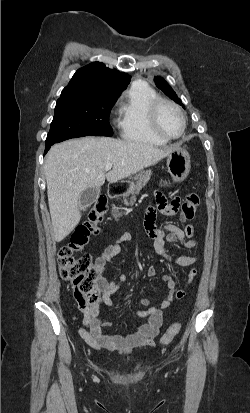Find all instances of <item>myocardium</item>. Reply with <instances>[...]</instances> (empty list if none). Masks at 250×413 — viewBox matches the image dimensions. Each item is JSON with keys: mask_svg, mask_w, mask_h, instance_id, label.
<instances>
[{"mask_svg": "<svg viewBox=\"0 0 250 413\" xmlns=\"http://www.w3.org/2000/svg\"><path fill=\"white\" fill-rule=\"evenodd\" d=\"M164 105L172 107L179 114V116L182 120V130H181L180 134H178L176 136H171V135H168V134L164 133L159 127L158 114H159V111H160L161 107L164 106ZM149 125H150V128H151L152 132L156 136H158L159 138L164 139L166 141L176 140V139H179L180 137H182L185 130H186V118H185V115H184L182 109L176 103H174L173 101L168 100V99L158 98L150 106V109H149Z\"/></svg>", "mask_w": 250, "mask_h": 413, "instance_id": "myocardium-1", "label": "myocardium"}]
</instances>
